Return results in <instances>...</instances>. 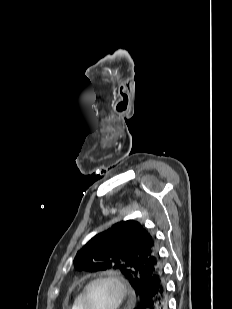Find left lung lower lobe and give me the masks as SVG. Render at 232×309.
Wrapping results in <instances>:
<instances>
[{"label": "left lung lower lobe", "instance_id": "0a47b994", "mask_svg": "<svg viewBox=\"0 0 232 309\" xmlns=\"http://www.w3.org/2000/svg\"><path fill=\"white\" fill-rule=\"evenodd\" d=\"M135 309H168V295L163 269L149 278Z\"/></svg>", "mask_w": 232, "mask_h": 309}]
</instances>
